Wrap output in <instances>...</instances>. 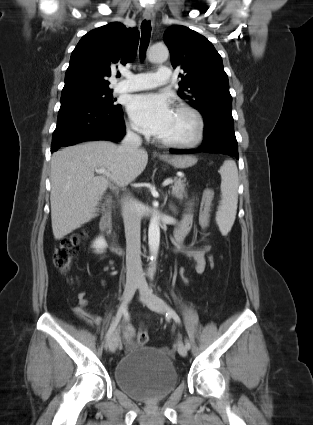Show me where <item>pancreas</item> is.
Listing matches in <instances>:
<instances>
[{"instance_id": "obj_1", "label": "pancreas", "mask_w": 313, "mask_h": 425, "mask_svg": "<svg viewBox=\"0 0 313 425\" xmlns=\"http://www.w3.org/2000/svg\"><path fill=\"white\" fill-rule=\"evenodd\" d=\"M172 180V179H171ZM186 179L182 178H174L172 180L173 185L171 186V194L175 196L178 199H183L184 197H187L185 187H186Z\"/></svg>"}]
</instances>
